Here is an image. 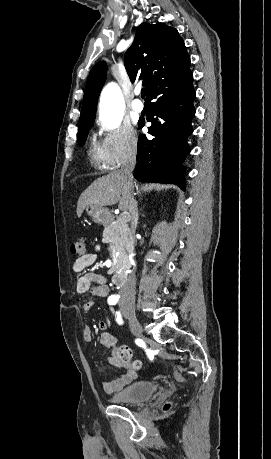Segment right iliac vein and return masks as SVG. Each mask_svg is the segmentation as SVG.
Here are the masks:
<instances>
[{
    "instance_id": "1",
    "label": "right iliac vein",
    "mask_w": 271,
    "mask_h": 459,
    "mask_svg": "<svg viewBox=\"0 0 271 459\" xmlns=\"http://www.w3.org/2000/svg\"><path fill=\"white\" fill-rule=\"evenodd\" d=\"M122 311L127 316L129 323L132 327V330L138 335H140L142 333V326L139 323V321L136 319L133 311L129 308L123 309Z\"/></svg>"
}]
</instances>
